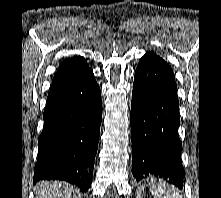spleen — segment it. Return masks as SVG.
<instances>
[{"mask_svg":"<svg viewBox=\"0 0 221 198\" xmlns=\"http://www.w3.org/2000/svg\"><path fill=\"white\" fill-rule=\"evenodd\" d=\"M154 198H178L175 192H172L171 188L165 182H159L153 184L151 189Z\"/></svg>","mask_w":221,"mask_h":198,"instance_id":"obj_1","label":"spleen"}]
</instances>
